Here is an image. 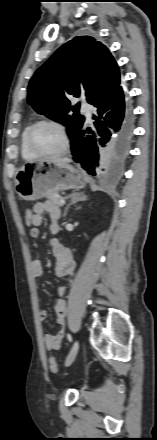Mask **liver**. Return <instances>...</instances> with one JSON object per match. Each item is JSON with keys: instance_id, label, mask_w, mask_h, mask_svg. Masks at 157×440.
<instances>
[{"instance_id": "obj_1", "label": "liver", "mask_w": 157, "mask_h": 440, "mask_svg": "<svg viewBox=\"0 0 157 440\" xmlns=\"http://www.w3.org/2000/svg\"><path fill=\"white\" fill-rule=\"evenodd\" d=\"M51 161H53V162L69 163V162H71V159H69L67 157H63V158H54V159H51Z\"/></svg>"}]
</instances>
